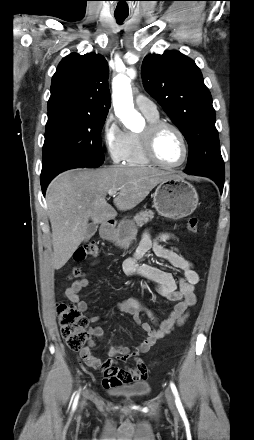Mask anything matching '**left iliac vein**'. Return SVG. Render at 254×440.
I'll list each match as a JSON object with an SVG mask.
<instances>
[{"label": "left iliac vein", "instance_id": "left-iliac-vein-1", "mask_svg": "<svg viewBox=\"0 0 254 440\" xmlns=\"http://www.w3.org/2000/svg\"><path fill=\"white\" fill-rule=\"evenodd\" d=\"M166 399H167V404H168L169 409L172 411V413L176 414L177 408H176V404H175V398H174L173 393L169 389L166 391Z\"/></svg>", "mask_w": 254, "mask_h": 440}]
</instances>
